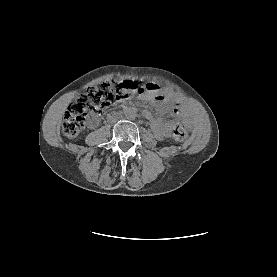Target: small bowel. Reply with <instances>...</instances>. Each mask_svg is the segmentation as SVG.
Listing matches in <instances>:
<instances>
[{
  "instance_id": "1",
  "label": "small bowel",
  "mask_w": 277,
  "mask_h": 277,
  "mask_svg": "<svg viewBox=\"0 0 277 277\" xmlns=\"http://www.w3.org/2000/svg\"><path fill=\"white\" fill-rule=\"evenodd\" d=\"M152 88H157L154 84L149 83L148 84ZM161 103L156 109V113L153 114L149 110H144L143 115L151 121V127L158 139L167 138L171 135L172 128L176 124L177 120L171 121V122H164L163 115L166 113V101H171L174 99L173 94L168 90H163L160 95ZM99 120L98 116L94 115L89 119V125L91 127L97 126Z\"/></svg>"
}]
</instances>
